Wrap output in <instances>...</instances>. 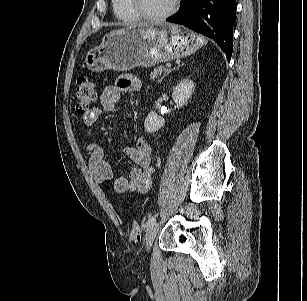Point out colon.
<instances>
[{"mask_svg":"<svg viewBox=\"0 0 307 301\" xmlns=\"http://www.w3.org/2000/svg\"><path fill=\"white\" fill-rule=\"evenodd\" d=\"M97 97L96 85L86 77H80L76 84L75 101L79 114H86L92 107ZM130 235L136 237L139 234V226L135 220L129 224Z\"/></svg>","mask_w":307,"mask_h":301,"instance_id":"1","label":"colon"}]
</instances>
